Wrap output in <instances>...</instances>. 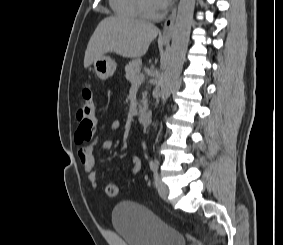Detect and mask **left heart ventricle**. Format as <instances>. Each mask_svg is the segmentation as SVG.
I'll use <instances>...</instances> for the list:
<instances>
[{
    "label": "left heart ventricle",
    "instance_id": "obj_1",
    "mask_svg": "<svg viewBox=\"0 0 283 245\" xmlns=\"http://www.w3.org/2000/svg\"><path fill=\"white\" fill-rule=\"evenodd\" d=\"M146 6L150 9V10H159L160 7L157 5V3L155 2V0H144Z\"/></svg>",
    "mask_w": 283,
    "mask_h": 245
}]
</instances>
